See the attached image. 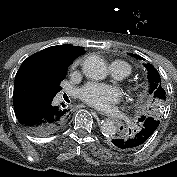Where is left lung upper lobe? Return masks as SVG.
<instances>
[{
	"label": "left lung upper lobe",
	"instance_id": "1",
	"mask_svg": "<svg viewBox=\"0 0 177 177\" xmlns=\"http://www.w3.org/2000/svg\"><path fill=\"white\" fill-rule=\"evenodd\" d=\"M131 55L137 57V55L135 54ZM144 66L148 70V80L150 87L149 93L151 102L147 116L159 120L162 107L166 100V92L164 90L163 83L161 82V78L157 70L149 63L144 64Z\"/></svg>",
	"mask_w": 177,
	"mask_h": 177
}]
</instances>
